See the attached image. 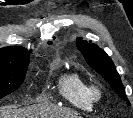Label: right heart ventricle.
<instances>
[{
	"instance_id": "obj_1",
	"label": "right heart ventricle",
	"mask_w": 133,
	"mask_h": 118,
	"mask_svg": "<svg viewBox=\"0 0 133 118\" xmlns=\"http://www.w3.org/2000/svg\"><path fill=\"white\" fill-rule=\"evenodd\" d=\"M60 96L74 108L90 112L94 108L92 86L76 72L61 76L58 81Z\"/></svg>"
}]
</instances>
